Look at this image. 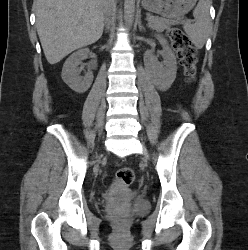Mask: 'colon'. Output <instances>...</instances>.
<instances>
[{"mask_svg": "<svg viewBox=\"0 0 248 250\" xmlns=\"http://www.w3.org/2000/svg\"><path fill=\"white\" fill-rule=\"evenodd\" d=\"M167 36L173 47L178 51L181 65L187 79H194L197 72V53L188 36L178 28H170ZM116 180L124 185H131L135 174L132 168L123 167L117 170Z\"/></svg>", "mask_w": 248, "mask_h": 250, "instance_id": "1", "label": "colon"}]
</instances>
